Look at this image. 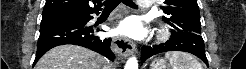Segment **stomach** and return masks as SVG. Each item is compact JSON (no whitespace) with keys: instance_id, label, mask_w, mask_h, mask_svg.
<instances>
[{"instance_id":"stomach-1","label":"stomach","mask_w":246,"mask_h":69,"mask_svg":"<svg viewBox=\"0 0 246 69\" xmlns=\"http://www.w3.org/2000/svg\"><path fill=\"white\" fill-rule=\"evenodd\" d=\"M150 69H168V64L165 59L156 58L152 61Z\"/></svg>"}]
</instances>
